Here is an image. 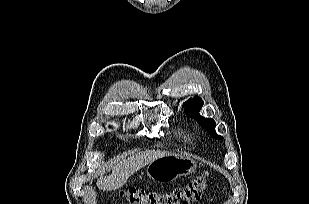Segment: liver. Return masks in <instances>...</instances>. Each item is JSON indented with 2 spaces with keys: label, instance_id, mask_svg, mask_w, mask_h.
<instances>
[{
  "label": "liver",
  "instance_id": "1",
  "mask_svg": "<svg viewBox=\"0 0 309 204\" xmlns=\"http://www.w3.org/2000/svg\"><path fill=\"white\" fill-rule=\"evenodd\" d=\"M167 155H171V153L164 151H145L133 155L115 165L112 174L100 178L97 184L100 188H104L107 191L120 189L135 171L148 165L152 161Z\"/></svg>",
  "mask_w": 309,
  "mask_h": 204
}]
</instances>
